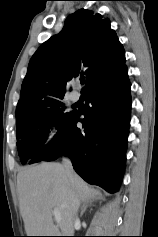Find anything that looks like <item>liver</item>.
<instances>
[{
    "instance_id": "liver-1",
    "label": "liver",
    "mask_w": 158,
    "mask_h": 237,
    "mask_svg": "<svg viewBox=\"0 0 158 237\" xmlns=\"http://www.w3.org/2000/svg\"><path fill=\"white\" fill-rule=\"evenodd\" d=\"M17 191L27 236L73 234L76 208L101 196L75 172L70 177L62 164L54 162L20 170ZM54 209L61 216L57 225L52 220Z\"/></svg>"
}]
</instances>
